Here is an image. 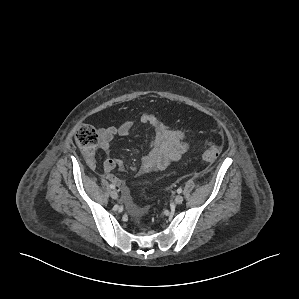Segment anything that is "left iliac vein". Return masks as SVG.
Instances as JSON below:
<instances>
[{"mask_svg": "<svg viewBox=\"0 0 299 299\" xmlns=\"http://www.w3.org/2000/svg\"><path fill=\"white\" fill-rule=\"evenodd\" d=\"M183 202V196L182 195H177L175 197V203L176 204H181Z\"/></svg>", "mask_w": 299, "mask_h": 299, "instance_id": "obj_1", "label": "left iliac vein"}]
</instances>
